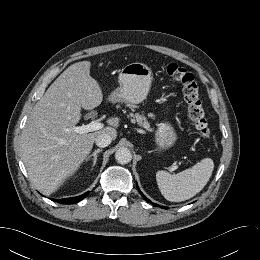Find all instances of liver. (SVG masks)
Masks as SVG:
<instances>
[{"instance_id": "6515ba94", "label": "liver", "mask_w": 260, "mask_h": 260, "mask_svg": "<svg viewBox=\"0 0 260 260\" xmlns=\"http://www.w3.org/2000/svg\"><path fill=\"white\" fill-rule=\"evenodd\" d=\"M90 67V61L69 66L36 103L23 129V161L32 185L45 195L55 192L79 168L98 135L117 137L116 117L98 131H74L81 109L92 110L102 102L101 88L90 76Z\"/></svg>"}]
</instances>
